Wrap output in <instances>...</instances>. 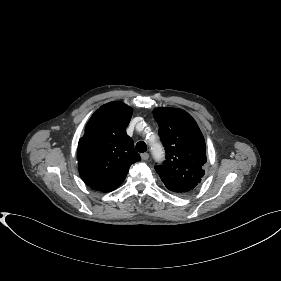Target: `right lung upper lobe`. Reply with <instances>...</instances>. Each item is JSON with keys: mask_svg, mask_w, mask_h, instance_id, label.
<instances>
[{"mask_svg": "<svg viewBox=\"0 0 281 281\" xmlns=\"http://www.w3.org/2000/svg\"><path fill=\"white\" fill-rule=\"evenodd\" d=\"M132 108L121 102L101 106L85 127L77 149L79 173L94 190L110 192L119 187L131 164L140 160L126 133Z\"/></svg>", "mask_w": 281, "mask_h": 281, "instance_id": "cb5924a9", "label": "right lung upper lobe"}]
</instances>
